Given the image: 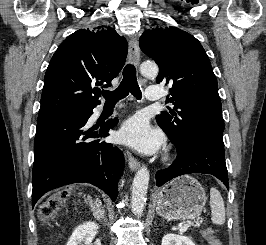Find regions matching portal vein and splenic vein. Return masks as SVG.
<instances>
[{
    "mask_svg": "<svg viewBox=\"0 0 266 245\" xmlns=\"http://www.w3.org/2000/svg\"><path fill=\"white\" fill-rule=\"evenodd\" d=\"M188 229V225H184V227H182V229H180V231H187Z\"/></svg>",
    "mask_w": 266,
    "mask_h": 245,
    "instance_id": "obj_1",
    "label": "portal vein and splenic vein"
}]
</instances>
